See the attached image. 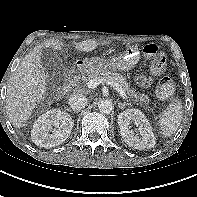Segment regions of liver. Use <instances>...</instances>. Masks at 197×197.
I'll list each match as a JSON object with an SVG mask.
<instances>
[{
	"label": "liver",
	"instance_id": "1",
	"mask_svg": "<svg viewBox=\"0 0 197 197\" xmlns=\"http://www.w3.org/2000/svg\"><path fill=\"white\" fill-rule=\"evenodd\" d=\"M109 44V41L86 40L76 44L79 51L90 52L96 47ZM61 50L64 43L59 40H47L43 46H36L27 54L10 79L6 95V111L13 127L21 128L32 114L35 106L46 93V75L41 63L43 48Z\"/></svg>",
	"mask_w": 197,
	"mask_h": 197
}]
</instances>
